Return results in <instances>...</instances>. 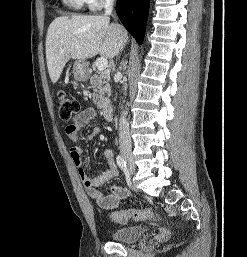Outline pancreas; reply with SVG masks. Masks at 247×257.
<instances>
[{
	"instance_id": "obj_1",
	"label": "pancreas",
	"mask_w": 247,
	"mask_h": 257,
	"mask_svg": "<svg viewBox=\"0 0 247 257\" xmlns=\"http://www.w3.org/2000/svg\"><path fill=\"white\" fill-rule=\"evenodd\" d=\"M109 73L100 71L90 78V84L93 89V102L98 109L106 108L110 104L111 87L109 84Z\"/></svg>"
}]
</instances>
